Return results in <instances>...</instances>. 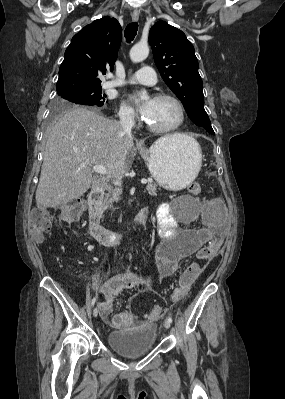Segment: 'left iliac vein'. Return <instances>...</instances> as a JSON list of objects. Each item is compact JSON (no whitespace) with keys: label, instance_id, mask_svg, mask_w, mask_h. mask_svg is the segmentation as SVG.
<instances>
[{"label":"left iliac vein","instance_id":"obj_1","mask_svg":"<svg viewBox=\"0 0 285 399\" xmlns=\"http://www.w3.org/2000/svg\"><path fill=\"white\" fill-rule=\"evenodd\" d=\"M163 325H164V327H165L166 329H169L171 323L166 319V320L164 321Z\"/></svg>","mask_w":285,"mask_h":399}]
</instances>
